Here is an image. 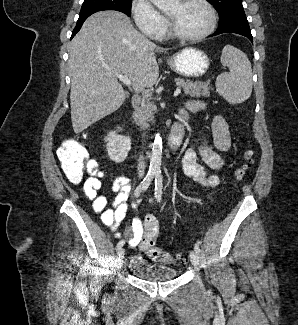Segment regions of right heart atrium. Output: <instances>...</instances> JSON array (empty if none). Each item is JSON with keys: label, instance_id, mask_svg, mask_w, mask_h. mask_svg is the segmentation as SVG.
I'll use <instances>...</instances> for the list:
<instances>
[{"label": "right heart atrium", "instance_id": "1", "mask_svg": "<svg viewBox=\"0 0 298 325\" xmlns=\"http://www.w3.org/2000/svg\"><path fill=\"white\" fill-rule=\"evenodd\" d=\"M132 13L138 29L143 30L150 41L166 40V35L162 34L167 28L166 19L150 0H135Z\"/></svg>", "mask_w": 298, "mask_h": 325}]
</instances>
